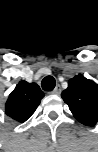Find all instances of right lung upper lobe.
I'll list each match as a JSON object with an SVG mask.
<instances>
[{"label":"right lung upper lobe","mask_w":98,"mask_h":152,"mask_svg":"<svg viewBox=\"0 0 98 152\" xmlns=\"http://www.w3.org/2000/svg\"><path fill=\"white\" fill-rule=\"evenodd\" d=\"M43 97L44 93L36 83L20 81L6 101L5 113L15 121L25 122Z\"/></svg>","instance_id":"1"}]
</instances>
